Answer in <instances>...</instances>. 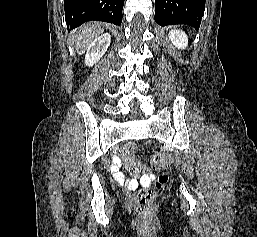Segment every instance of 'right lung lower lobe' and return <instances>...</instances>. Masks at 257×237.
Wrapping results in <instances>:
<instances>
[{"instance_id":"obj_1","label":"right lung lower lobe","mask_w":257,"mask_h":237,"mask_svg":"<svg viewBox=\"0 0 257 237\" xmlns=\"http://www.w3.org/2000/svg\"><path fill=\"white\" fill-rule=\"evenodd\" d=\"M124 0H64L65 20L73 29L84 22L97 20L120 25Z\"/></svg>"}]
</instances>
